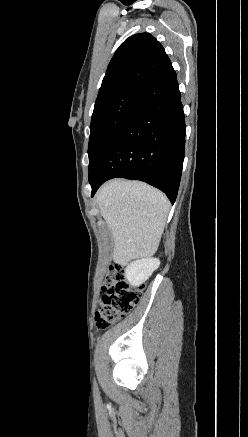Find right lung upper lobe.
Masks as SVG:
<instances>
[{
	"instance_id": "cb5924a9",
	"label": "right lung upper lobe",
	"mask_w": 248,
	"mask_h": 437,
	"mask_svg": "<svg viewBox=\"0 0 248 437\" xmlns=\"http://www.w3.org/2000/svg\"><path fill=\"white\" fill-rule=\"evenodd\" d=\"M169 64L164 48L151 34L130 36L111 59L94 108L122 93L140 92Z\"/></svg>"
}]
</instances>
